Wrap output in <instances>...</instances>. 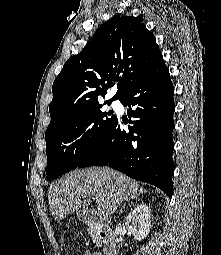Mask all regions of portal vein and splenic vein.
Listing matches in <instances>:
<instances>
[{"instance_id":"portal-vein-and-splenic-vein-1","label":"portal vein and splenic vein","mask_w":221,"mask_h":255,"mask_svg":"<svg viewBox=\"0 0 221 255\" xmlns=\"http://www.w3.org/2000/svg\"><path fill=\"white\" fill-rule=\"evenodd\" d=\"M95 199H96V202H97V206H98L99 208H103L102 202H101L100 200H98L97 198H95Z\"/></svg>"}]
</instances>
